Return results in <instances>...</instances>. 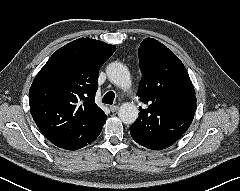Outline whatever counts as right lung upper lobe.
<instances>
[{
  "label": "right lung upper lobe",
  "mask_w": 240,
  "mask_h": 191,
  "mask_svg": "<svg viewBox=\"0 0 240 191\" xmlns=\"http://www.w3.org/2000/svg\"><path fill=\"white\" fill-rule=\"evenodd\" d=\"M116 47L80 38L58 49L29 90L31 115L50 142L94 132L107 116L95 104L98 72Z\"/></svg>",
  "instance_id": "1"
}]
</instances>
